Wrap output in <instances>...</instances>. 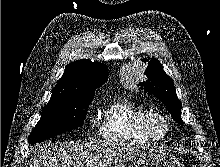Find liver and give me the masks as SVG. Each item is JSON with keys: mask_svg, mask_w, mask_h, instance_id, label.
Returning <instances> with one entry per match:
<instances>
[{"mask_svg": "<svg viewBox=\"0 0 220 167\" xmlns=\"http://www.w3.org/2000/svg\"><path fill=\"white\" fill-rule=\"evenodd\" d=\"M126 148L125 143L111 140L45 144L30 160V167H110Z\"/></svg>", "mask_w": 220, "mask_h": 167, "instance_id": "liver-1", "label": "liver"}]
</instances>
